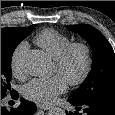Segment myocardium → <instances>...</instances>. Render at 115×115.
<instances>
[{"label": "myocardium", "instance_id": "1", "mask_svg": "<svg viewBox=\"0 0 115 115\" xmlns=\"http://www.w3.org/2000/svg\"><path fill=\"white\" fill-rule=\"evenodd\" d=\"M80 52L84 59V66L80 74L75 77H69L66 82L70 86L81 85L89 76L93 66V55L89 45L84 42H71L55 60V67L59 74L65 73L72 56Z\"/></svg>", "mask_w": 115, "mask_h": 115}]
</instances>
